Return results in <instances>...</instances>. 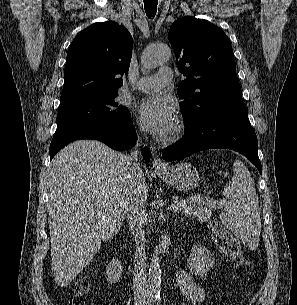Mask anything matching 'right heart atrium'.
Wrapping results in <instances>:
<instances>
[{"instance_id": "obj_1", "label": "right heart atrium", "mask_w": 297, "mask_h": 305, "mask_svg": "<svg viewBox=\"0 0 297 305\" xmlns=\"http://www.w3.org/2000/svg\"><path fill=\"white\" fill-rule=\"evenodd\" d=\"M136 135H137L138 138H141L142 137V131L140 129H138L136 131Z\"/></svg>"}]
</instances>
